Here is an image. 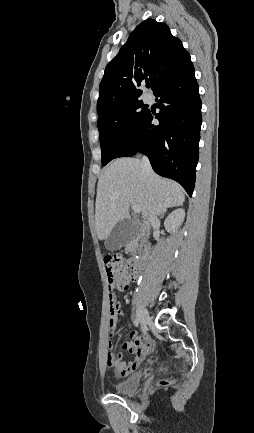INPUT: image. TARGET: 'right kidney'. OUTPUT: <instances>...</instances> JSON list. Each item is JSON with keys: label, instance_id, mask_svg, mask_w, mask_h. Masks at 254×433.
Listing matches in <instances>:
<instances>
[{"label": "right kidney", "instance_id": "1", "mask_svg": "<svg viewBox=\"0 0 254 433\" xmlns=\"http://www.w3.org/2000/svg\"><path fill=\"white\" fill-rule=\"evenodd\" d=\"M185 217L184 209H176L167 216L164 221V226L168 232L174 233L177 228L182 224Z\"/></svg>", "mask_w": 254, "mask_h": 433}]
</instances>
